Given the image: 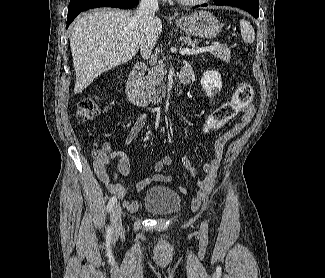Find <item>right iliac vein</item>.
I'll return each instance as SVG.
<instances>
[{"instance_id": "63e3f726", "label": "right iliac vein", "mask_w": 325, "mask_h": 278, "mask_svg": "<svg viewBox=\"0 0 325 278\" xmlns=\"http://www.w3.org/2000/svg\"><path fill=\"white\" fill-rule=\"evenodd\" d=\"M111 224L114 234H118L122 231V220H121V207L116 204L111 210Z\"/></svg>"}]
</instances>
